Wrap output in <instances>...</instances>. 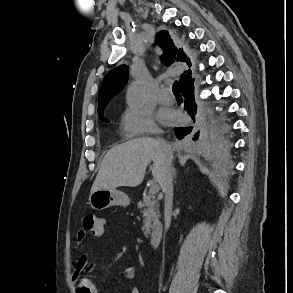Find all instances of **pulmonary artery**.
<instances>
[{"mask_svg":"<svg viewBox=\"0 0 293 293\" xmlns=\"http://www.w3.org/2000/svg\"><path fill=\"white\" fill-rule=\"evenodd\" d=\"M175 98L172 94V91L169 87H166L162 89L160 95H159V102L161 104H172L174 102Z\"/></svg>","mask_w":293,"mask_h":293,"instance_id":"e3ab8cb5","label":"pulmonary artery"}]
</instances>
